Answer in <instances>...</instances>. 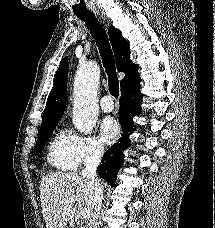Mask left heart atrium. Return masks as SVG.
I'll return each mask as SVG.
<instances>
[{"label":"left heart atrium","mask_w":215,"mask_h":228,"mask_svg":"<svg viewBox=\"0 0 215 228\" xmlns=\"http://www.w3.org/2000/svg\"><path fill=\"white\" fill-rule=\"evenodd\" d=\"M101 134L103 139L110 143L115 141L120 135V127L112 117H106L101 123Z\"/></svg>","instance_id":"obj_1"}]
</instances>
